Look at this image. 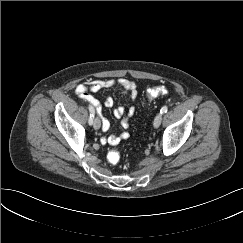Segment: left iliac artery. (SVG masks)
I'll list each match as a JSON object with an SVG mask.
<instances>
[{
    "label": "left iliac artery",
    "instance_id": "44dca946",
    "mask_svg": "<svg viewBox=\"0 0 243 243\" xmlns=\"http://www.w3.org/2000/svg\"><path fill=\"white\" fill-rule=\"evenodd\" d=\"M167 110H168V107L165 105V106H163V107L161 108L160 113H161V114H164V113L167 112Z\"/></svg>",
    "mask_w": 243,
    "mask_h": 243
}]
</instances>
